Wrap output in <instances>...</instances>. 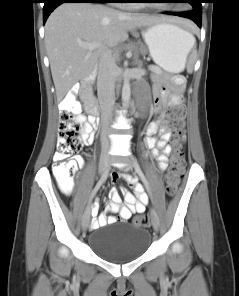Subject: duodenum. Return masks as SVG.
<instances>
[{
  "label": "duodenum",
  "mask_w": 239,
  "mask_h": 296,
  "mask_svg": "<svg viewBox=\"0 0 239 296\" xmlns=\"http://www.w3.org/2000/svg\"><path fill=\"white\" fill-rule=\"evenodd\" d=\"M96 77V70H92L91 73L83 79L81 82V86L83 88V99L85 102L86 109L88 110L90 114V122L94 128H97L99 125V109L96 105L94 99L89 95V91L91 89V86L95 80Z\"/></svg>",
  "instance_id": "1"
}]
</instances>
